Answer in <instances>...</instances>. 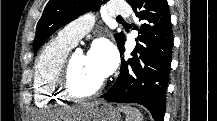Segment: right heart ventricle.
Returning a JSON list of instances; mask_svg holds the SVG:
<instances>
[{
    "label": "right heart ventricle",
    "mask_w": 217,
    "mask_h": 121,
    "mask_svg": "<svg viewBox=\"0 0 217 121\" xmlns=\"http://www.w3.org/2000/svg\"><path fill=\"white\" fill-rule=\"evenodd\" d=\"M73 44L59 35L50 40L40 51L34 66L35 101L39 106L49 107L63 101L58 93L57 78Z\"/></svg>",
    "instance_id": "e07e8e85"
}]
</instances>
